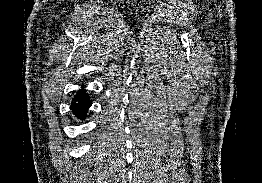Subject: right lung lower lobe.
Wrapping results in <instances>:
<instances>
[{"label":"right lung lower lobe","mask_w":262,"mask_h":183,"mask_svg":"<svg viewBox=\"0 0 262 183\" xmlns=\"http://www.w3.org/2000/svg\"><path fill=\"white\" fill-rule=\"evenodd\" d=\"M90 106L91 101L82 89L77 94V96L73 98V101L71 103V110L77 117H79L80 119H84Z\"/></svg>","instance_id":"1"}]
</instances>
